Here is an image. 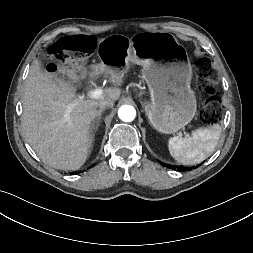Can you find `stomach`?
Instances as JSON below:
<instances>
[{"instance_id": "1", "label": "stomach", "mask_w": 253, "mask_h": 253, "mask_svg": "<svg viewBox=\"0 0 253 253\" xmlns=\"http://www.w3.org/2000/svg\"><path fill=\"white\" fill-rule=\"evenodd\" d=\"M100 66L127 72L131 64L142 66L151 100L144 102L151 125L165 134L175 133L195 116L197 103L190 87L192 67L186 52L169 33L140 34L133 38L110 35L97 44Z\"/></svg>"}]
</instances>
